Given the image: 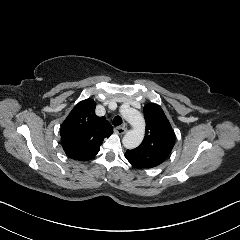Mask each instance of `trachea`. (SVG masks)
<instances>
[{
  "instance_id": "1",
  "label": "trachea",
  "mask_w": 240,
  "mask_h": 240,
  "mask_svg": "<svg viewBox=\"0 0 240 240\" xmlns=\"http://www.w3.org/2000/svg\"><path fill=\"white\" fill-rule=\"evenodd\" d=\"M122 123H123V120H122V118H121L120 116H115L114 119H113V121H112V124H113L114 126H119V125H121Z\"/></svg>"
}]
</instances>
